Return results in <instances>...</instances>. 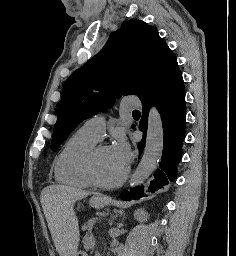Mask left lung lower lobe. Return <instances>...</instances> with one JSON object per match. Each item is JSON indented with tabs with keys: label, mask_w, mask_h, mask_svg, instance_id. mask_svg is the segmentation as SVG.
I'll return each instance as SVG.
<instances>
[{
	"label": "left lung lower lobe",
	"mask_w": 236,
	"mask_h": 256,
	"mask_svg": "<svg viewBox=\"0 0 236 256\" xmlns=\"http://www.w3.org/2000/svg\"><path fill=\"white\" fill-rule=\"evenodd\" d=\"M143 105L139 129L143 138L138 144L139 154L142 153L147 132L148 112L156 105L161 115L164 149L159 168L155 171L148 185L137 186L130 192H124L119 197L130 201L147 197L150 193L163 188L176 178L177 165L182 156V145L185 138V89L180 69H176L164 79L148 96L141 100Z\"/></svg>",
	"instance_id": "obj_1"
}]
</instances>
